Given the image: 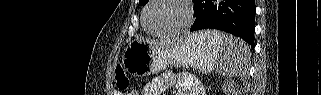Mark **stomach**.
I'll list each match as a JSON object with an SVG mask.
<instances>
[{
	"mask_svg": "<svg viewBox=\"0 0 321 95\" xmlns=\"http://www.w3.org/2000/svg\"><path fill=\"white\" fill-rule=\"evenodd\" d=\"M221 53L222 42L205 32L190 34L169 48L135 39L124 49L122 65L135 76L157 73L169 66L207 73L215 69Z\"/></svg>",
	"mask_w": 321,
	"mask_h": 95,
	"instance_id": "stomach-1",
	"label": "stomach"
}]
</instances>
